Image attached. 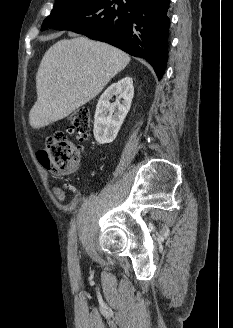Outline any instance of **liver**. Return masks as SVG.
<instances>
[{
  "label": "liver",
  "mask_w": 233,
  "mask_h": 328,
  "mask_svg": "<svg viewBox=\"0 0 233 328\" xmlns=\"http://www.w3.org/2000/svg\"><path fill=\"white\" fill-rule=\"evenodd\" d=\"M129 62L120 49L86 37L58 41L46 51L36 74L31 127L39 129L67 117L96 97Z\"/></svg>",
  "instance_id": "1"
}]
</instances>
